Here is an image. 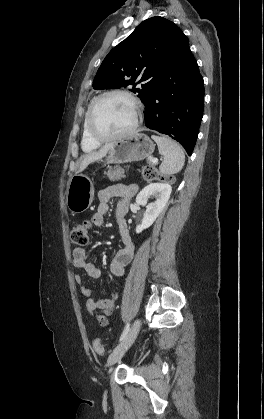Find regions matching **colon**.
<instances>
[{
  "mask_svg": "<svg viewBox=\"0 0 264 419\" xmlns=\"http://www.w3.org/2000/svg\"><path fill=\"white\" fill-rule=\"evenodd\" d=\"M141 175L147 181L159 180L163 182H169L170 177L164 176L158 172V170L150 165L143 166L141 168ZM90 222L82 221L74 225L71 230V240L74 244L83 246L86 245L89 239ZM93 350L98 355H104L105 349L99 338L93 341Z\"/></svg>",
  "mask_w": 264,
  "mask_h": 419,
  "instance_id": "1",
  "label": "colon"
}]
</instances>
